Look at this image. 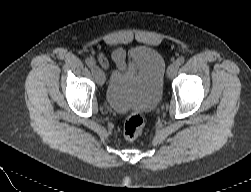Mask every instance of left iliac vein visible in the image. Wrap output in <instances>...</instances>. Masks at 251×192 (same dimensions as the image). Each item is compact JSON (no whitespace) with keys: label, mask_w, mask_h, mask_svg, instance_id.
<instances>
[{"label":"left iliac vein","mask_w":251,"mask_h":192,"mask_svg":"<svg viewBox=\"0 0 251 192\" xmlns=\"http://www.w3.org/2000/svg\"><path fill=\"white\" fill-rule=\"evenodd\" d=\"M178 70V65L176 63H172L167 70V74L169 78H173Z\"/></svg>","instance_id":"obj_1"}]
</instances>
